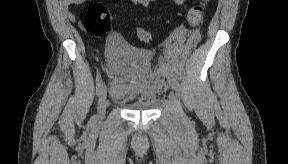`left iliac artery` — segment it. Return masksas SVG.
<instances>
[{"label":"left iliac artery","instance_id":"1","mask_svg":"<svg viewBox=\"0 0 288 164\" xmlns=\"http://www.w3.org/2000/svg\"><path fill=\"white\" fill-rule=\"evenodd\" d=\"M173 75L178 79H182L181 73L176 68L173 69Z\"/></svg>","mask_w":288,"mask_h":164}]
</instances>
